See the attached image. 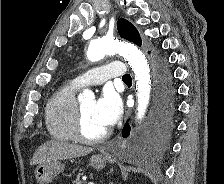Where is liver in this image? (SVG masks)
Listing matches in <instances>:
<instances>
[{
    "instance_id": "1",
    "label": "liver",
    "mask_w": 224,
    "mask_h": 184,
    "mask_svg": "<svg viewBox=\"0 0 224 184\" xmlns=\"http://www.w3.org/2000/svg\"><path fill=\"white\" fill-rule=\"evenodd\" d=\"M93 151L92 148L75 145L57 140H50L43 143L34 153L31 165H39L51 161L71 159L85 156Z\"/></svg>"
}]
</instances>
